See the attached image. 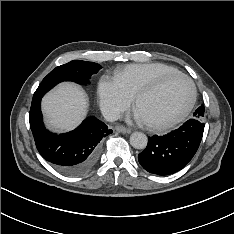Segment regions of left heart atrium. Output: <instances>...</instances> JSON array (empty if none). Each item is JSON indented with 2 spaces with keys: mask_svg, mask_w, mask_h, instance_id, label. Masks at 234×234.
Segmentation results:
<instances>
[{
  "mask_svg": "<svg viewBox=\"0 0 234 234\" xmlns=\"http://www.w3.org/2000/svg\"><path fill=\"white\" fill-rule=\"evenodd\" d=\"M134 116L138 121H144V119L142 118V116L140 115V113L138 111L135 112Z\"/></svg>",
  "mask_w": 234,
  "mask_h": 234,
  "instance_id": "obj_1",
  "label": "left heart atrium"
}]
</instances>
